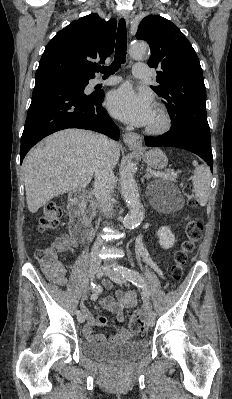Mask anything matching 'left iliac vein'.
<instances>
[{"mask_svg": "<svg viewBox=\"0 0 232 399\" xmlns=\"http://www.w3.org/2000/svg\"><path fill=\"white\" fill-rule=\"evenodd\" d=\"M102 269L103 266H100V268L94 269V272H96V274H105L106 277L112 279V283L125 282L124 278L118 277L117 274H115L114 272L108 271L107 266H104L105 271H102ZM147 327H154V320H147Z\"/></svg>", "mask_w": 232, "mask_h": 399, "instance_id": "obj_1", "label": "left iliac vein"}]
</instances>
